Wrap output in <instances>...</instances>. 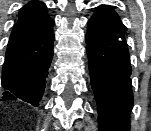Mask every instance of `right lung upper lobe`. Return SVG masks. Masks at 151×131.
<instances>
[{
    "label": "right lung upper lobe",
    "instance_id": "right-lung-upper-lobe-1",
    "mask_svg": "<svg viewBox=\"0 0 151 131\" xmlns=\"http://www.w3.org/2000/svg\"><path fill=\"white\" fill-rule=\"evenodd\" d=\"M53 25L46 5L40 1H30L19 11L6 50L2 84L33 73L48 59L53 48Z\"/></svg>",
    "mask_w": 151,
    "mask_h": 131
}]
</instances>
